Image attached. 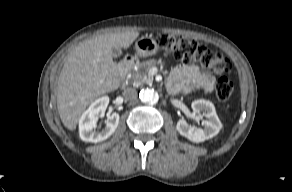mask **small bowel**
<instances>
[{"instance_id": "c3829d8e", "label": "small bowel", "mask_w": 292, "mask_h": 192, "mask_svg": "<svg viewBox=\"0 0 292 192\" xmlns=\"http://www.w3.org/2000/svg\"><path fill=\"white\" fill-rule=\"evenodd\" d=\"M215 78L202 73L194 65L180 64L171 73L167 87L171 93H188L194 90L211 91Z\"/></svg>"}]
</instances>
